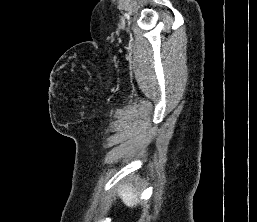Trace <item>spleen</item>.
I'll return each instance as SVG.
<instances>
[{
  "label": "spleen",
  "mask_w": 257,
  "mask_h": 222,
  "mask_svg": "<svg viewBox=\"0 0 257 222\" xmlns=\"http://www.w3.org/2000/svg\"><path fill=\"white\" fill-rule=\"evenodd\" d=\"M118 193L125 205L128 207L136 205L139 193L130 184H121Z\"/></svg>",
  "instance_id": "3e777b00"
}]
</instances>
